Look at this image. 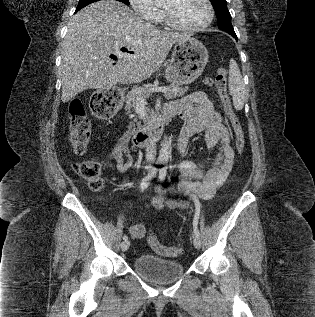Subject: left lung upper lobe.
<instances>
[{
    "mask_svg": "<svg viewBox=\"0 0 315 317\" xmlns=\"http://www.w3.org/2000/svg\"><path fill=\"white\" fill-rule=\"evenodd\" d=\"M218 19V28L230 35L235 34L231 24V15L227 8L226 0H210Z\"/></svg>",
    "mask_w": 315,
    "mask_h": 317,
    "instance_id": "obj_1",
    "label": "left lung upper lobe"
}]
</instances>
